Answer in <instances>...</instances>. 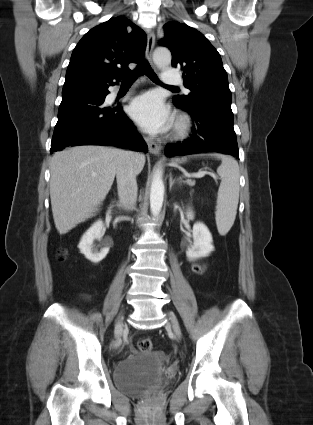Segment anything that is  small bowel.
Wrapping results in <instances>:
<instances>
[{
  "label": "small bowel",
  "instance_id": "c3829d8e",
  "mask_svg": "<svg viewBox=\"0 0 313 425\" xmlns=\"http://www.w3.org/2000/svg\"><path fill=\"white\" fill-rule=\"evenodd\" d=\"M193 266H199V265L194 264ZM85 298H87V297L85 296Z\"/></svg>",
  "mask_w": 313,
  "mask_h": 425
}]
</instances>
